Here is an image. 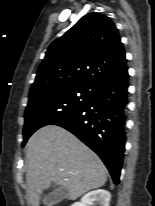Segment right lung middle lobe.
Wrapping results in <instances>:
<instances>
[{
  "label": "right lung middle lobe",
  "instance_id": "dd1d6c3e",
  "mask_svg": "<svg viewBox=\"0 0 155 206\" xmlns=\"http://www.w3.org/2000/svg\"><path fill=\"white\" fill-rule=\"evenodd\" d=\"M96 89L84 85H71L44 90L29 96L23 128L24 146L39 128L52 125L85 106Z\"/></svg>",
  "mask_w": 155,
  "mask_h": 206
}]
</instances>
